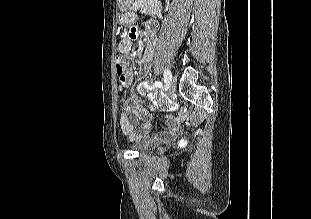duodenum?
Returning <instances> with one entry per match:
<instances>
[{"label":"duodenum","mask_w":311,"mask_h":219,"mask_svg":"<svg viewBox=\"0 0 311 219\" xmlns=\"http://www.w3.org/2000/svg\"><path fill=\"white\" fill-rule=\"evenodd\" d=\"M154 29H155V26H154L153 24H149V25H148V31H149V32H153Z\"/></svg>","instance_id":"410a0bca"}]
</instances>
